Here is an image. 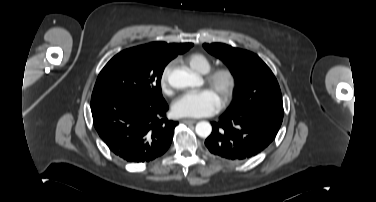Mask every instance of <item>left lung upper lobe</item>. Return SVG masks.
<instances>
[{
  "mask_svg": "<svg viewBox=\"0 0 376 202\" xmlns=\"http://www.w3.org/2000/svg\"><path fill=\"white\" fill-rule=\"evenodd\" d=\"M203 47L228 65L238 84L236 100L228 112L242 114L254 109L283 117L279 84L256 54L222 43H205Z\"/></svg>",
  "mask_w": 376,
  "mask_h": 202,
  "instance_id": "1",
  "label": "left lung upper lobe"
}]
</instances>
